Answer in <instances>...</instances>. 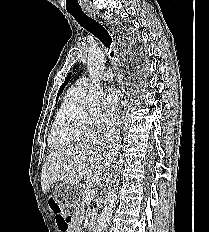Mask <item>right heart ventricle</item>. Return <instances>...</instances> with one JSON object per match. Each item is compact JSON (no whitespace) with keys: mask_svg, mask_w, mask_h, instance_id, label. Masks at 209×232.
<instances>
[{"mask_svg":"<svg viewBox=\"0 0 209 232\" xmlns=\"http://www.w3.org/2000/svg\"><path fill=\"white\" fill-rule=\"evenodd\" d=\"M84 94L76 93L70 88L55 115L49 137L48 144L52 149H63L70 147L79 142L85 141L91 138L96 129L93 132L86 133L75 128V120L81 113L79 104Z\"/></svg>","mask_w":209,"mask_h":232,"instance_id":"obj_1","label":"right heart ventricle"}]
</instances>
